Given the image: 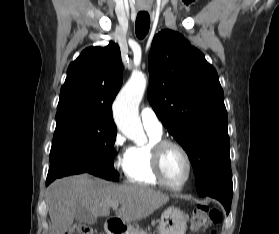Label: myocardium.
<instances>
[{
  "instance_id": "obj_1",
  "label": "myocardium",
  "mask_w": 279,
  "mask_h": 234,
  "mask_svg": "<svg viewBox=\"0 0 279 234\" xmlns=\"http://www.w3.org/2000/svg\"><path fill=\"white\" fill-rule=\"evenodd\" d=\"M170 147H174L177 150L181 152L183 157L185 158L186 164H187V174L184 178V180L179 184H172L170 183L164 174L163 171V158L166 150ZM152 168L153 172L159 181L160 184L165 186L166 188L178 191L181 190L191 179L192 173H193V162L192 158L187 151V149L180 144L179 142H176L174 140L170 139H160L156 141L152 146Z\"/></svg>"
}]
</instances>
